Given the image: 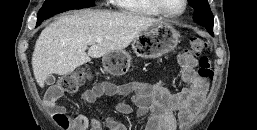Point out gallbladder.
<instances>
[{
  "label": "gallbladder",
  "instance_id": "gallbladder-1",
  "mask_svg": "<svg viewBox=\"0 0 257 130\" xmlns=\"http://www.w3.org/2000/svg\"><path fill=\"white\" fill-rule=\"evenodd\" d=\"M45 83L47 85H53L55 83V77L53 75L48 76Z\"/></svg>",
  "mask_w": 257,
  "mask_h": 130
}]
</instances>
